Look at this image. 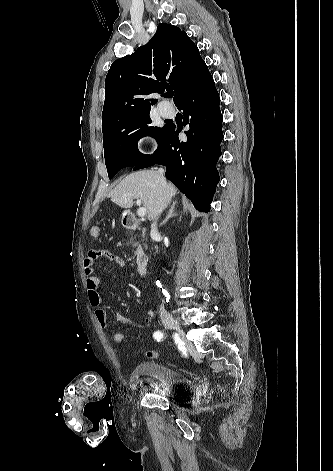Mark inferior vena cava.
I'll list each match as a JSON object with an SVG mask.
<instances>
[{"instance_id": "1", "label": "inferior vena cava", "mask_w": 333, "mask_h": 471, "mask_svg": "<svg viewBox=\"0 0 333 471\" xmlns=\"http://www.w3.org/2000/svg\"><path fill=\"white\" fill-rule=\"evenodd\" d=\"M164 172H165V169L163 168H160L158 170V173H159V177H160V180H161V184L163 186V195H162V198H161V202H160V206L158 208V211H157V217L161 214V212L164 210V208L167 206V204L169 203V193H168V190H167V184H166V181L164 179ZM157 233V227H156V221L151 225V235H154ZM160 311H165L164 309V305H161L160 306Z\"/></svg>"}]
</instances>
